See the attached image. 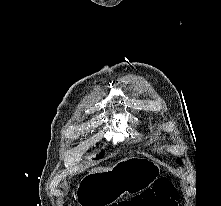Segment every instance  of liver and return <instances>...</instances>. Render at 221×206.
<instances>
[{
  "label": "liver",
  "instance_id": "1",
  "mask_svg": "<svg viewBox=\"0 0 221 206\" xmlns=\"http://www.w3.org/2000/svg\"><path fill=\"white\" fill-rule=\"evenodd\" d=\"M111 168L107 167V168H104V167H98V168H94L92 169L89 174H94V173H103V172H107L109 171Z\"/></svg>",
  "mask_w": 221,
  "mask_h": 206
}]
</instances>
